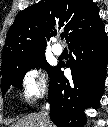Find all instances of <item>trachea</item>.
I'll return each instance as SVG.
<instances>
[{
  "label": "trachea",
  "mask_w": 108,
  "mask_h": 127,
  "mask_svg": "<svg viewBox=\"0 0 108 127\" xmlns=\"http://www.w3.org/2000/svg\"><path fill=\"white\" fill-rule=\"evenodd\" d=\"M65 35L64 34H61V39H64Z\"/></svg>",
  "instance_id": "obj_1"
}]
</instances>
